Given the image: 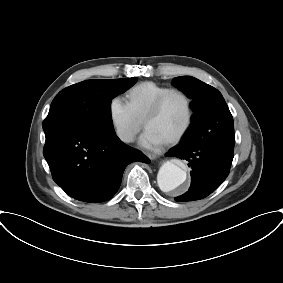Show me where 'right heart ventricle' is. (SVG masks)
I'll return each instance as SVG.
<instances>
[{
    "label": "right heart ventricle",
    "mask_w": 283,
    "mask_h": 283,
    "mask_svg": "<svg viewBox=\"0 0 283 283\" xmlns=\"http://www.w3.org/2000/svg\"><path fill=\"white\" fill-rule=\"evenodd\" d=\"M168 89H170L169 86L153 81H144L136 84L127 91L126 103L134 116L138 120L143 121L153 103Z\"/></svg>",
    "instance_id": "e07e8e85"
}]
</instances>
